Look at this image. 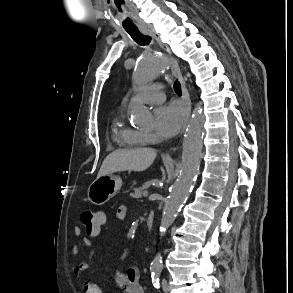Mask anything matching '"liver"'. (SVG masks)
<instances>
[{"label": "liver", "instance_id": "liver-1", "mask_svg": "<svg viewBox=\"0 0 293 293\" xmlns=\"http://www.w3.org/2000/svg\"><path fill=\"white\" fill-rule=\"evenodd\" d=\"M156 155V151L151 148L116 150L104 159L97 178L115 172L144 171L151 166Z\"/></svg>", "mask_w": 293, "mask_h": 293}]
</instances>
